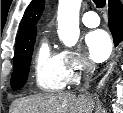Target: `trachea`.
I'll use <instances>...</instances> for the list:
<instances>
[{"label":"trachea","instance_id":"obj_1","mask_svg":"<svg viewBox=\"0 0 123 113\" xmlns=\"http://www.w3.org/2000/svg\"><path fill=\"white\" fill-rule=\"evenodd\" d=\"M97 8H103L106 4L105 0H93Z\"/></svg>","mask_w":123,"mask_h":113}]
</instances>
